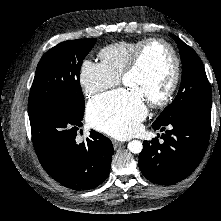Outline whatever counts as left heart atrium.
Returning a JSON list of instances; mask_svg holds the SVG:
<instances>
[{"mask_svg":"<svg viewBox=\"0 0 221 221\" xmlns=\"http://www.w3.org/2000/svg\"><path fill=\"white\" fill-rule=\"evenodd\" d=\"M145 116V102L131 89L102 94L93 99L87 108L90 124L116 139L136 134Z\"/></svg>","mask_w":221,"mask_h":221,"instance_id":"left-heart-atrium-1","label":"left heart atrium"}]
</instances>
